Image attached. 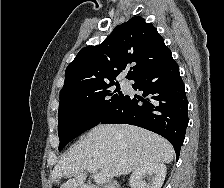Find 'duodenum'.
<instances>
[{
    "mask_svg": "<svg viewBox=\"0 0 224 188\" xmlns=\"http://www.w3.org/2000/svg\"><path fill=\"white\" fill-rule=\"evenodd\" d=\"M83 188H98L95 185H85Z\"/></svg>",
    "mask_w": 224,
    "mask_h": 188,
    "instance_id": "duodenum-1",
    "label": "duodenum"
}]
</instances>
